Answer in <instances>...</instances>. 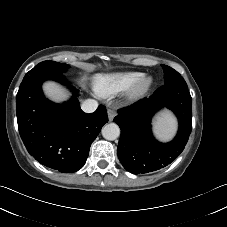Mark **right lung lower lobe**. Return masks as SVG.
Masks as SVG:
<instances>
[{
  "label": "right lung lower lobe",
  "mask_w": 227,
  "mask_h": 227,
  "mask_svg": "<svg viewBox=\"0 0 227 227\" xmlns=\"http://www.w3.org/2000/svg\"><path fill=\"white\" fill-rule=\"evenodd\" d=\"M66 83L62 74L38 73L25 76L16 96L18 129L22 141L39 163L62 173H72L86 163L91 143L108 122L107 111L99 106L86 114L76 98L58 105L45 98L42 82Z\"/></svg>",
  "instance_id": "obj_1"
}]
</instances>
